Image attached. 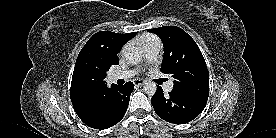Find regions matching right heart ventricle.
I'll return each mask as SVG.
<instances>
[{
  "label": "right heart ventricle",
  "mask_w": 276,
  "mask_h": 138,
  "mask_svg": "<svg viewBox=\"0 0 276 138\" xmlns=\"http://www.w3.org/2000/svg\"><path fill=\"white\" fill-rule=\"evenodd\" d=\"M155 41H159V39L156 36L150 35V34L143 35L139 39V42H140L142 47H144L146 44H148L150 42H155Z\"/></svg>",
  "instance_id": "right-heart-ventricle-1"
}]
</instances>
